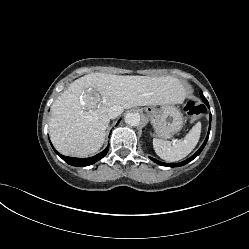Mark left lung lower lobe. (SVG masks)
<instances>
[{"label": "left lung lower lobe", "mask_w": 249, "mask_h": 249, "mask_svg": "<svg viewBox=\"0 0 249 249\" xmlns=\"http://www.w3.org/2000/svg\"><path fill=\"white\" fill-rule=\"evenodd\" d=\"M200 95H201V98H202L203 102L209 107L208 101L203 96V93H200ZM210 123H211V115H210ZM210 129H211V124L209 125V131H208L207 137H206L204 143L202 144V146L199 148V150L194 155H192L190 158L186 159L185 161H182V162L176 163V164H167V163L160 162V161H158V160H156L154 158H151V157H150V159L152 161H154L155 163H157L159 165H162V166H166V167H179V166H183V165L189 163L190 161H192L195 157H197L201 153V151L203 150V148L206 145V142L208 140Z\"/></svg>", "instance_id": "left-lung-lower-lobe-1"}]
</instances>
